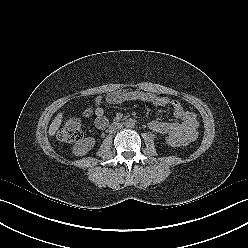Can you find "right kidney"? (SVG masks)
<instances>
[{
  "mask_svg": "<svg viewBox=\"0 0 248 248\" xmlns=\"http://www.w3.org/2000/svg\"><path fill=\"white\" fill-rule=\"evenodd\" d=\"M95 145V139L93 137H87L79 140L73 147V154L75 156L86 155L92 147Z\"/></svg>",
  "mask_w": 248,
  "mask_h": 248,
  "instance_id": "right-kidney-1",
  "label": "right kidney"
}]
</instances>
